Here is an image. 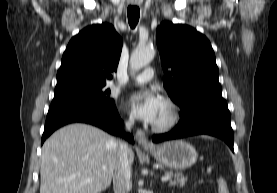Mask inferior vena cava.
I'll list each match as a JSON object with an SVG mask.
<instances>
[{
    "instance_id": "1",
    "label": "inferior vena cava",
    "mask_w": 277,
    "mask_h": 193,
    "mask_svg": "<svg viewBox=\"0 0 277 193\" xmlns=\"http://www.w3.org/2000/svg\"><path fill=\"white\" fill-rule=\"evenodd\" d=\"M134 125V118L130 117L125 123L126 129L130 130ZM130 149L126 142L118 144V162L113 177L114 193H129L132 188L131 162L129 158Z\"/></svg>"
}]
</instances>
